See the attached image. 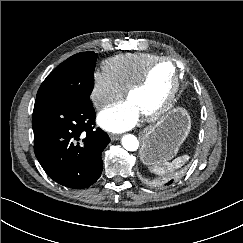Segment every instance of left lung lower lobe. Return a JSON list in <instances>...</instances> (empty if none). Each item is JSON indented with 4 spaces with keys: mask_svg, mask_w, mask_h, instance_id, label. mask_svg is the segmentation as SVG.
<instances>
[{
    "mask_svg": "<svg viewBox=\"0 0 243 243\" xmlns=\"http://www.w3.org/2000/svg\"><path fill=\"white\" fill-rule=\"evenodd\" d=\"M171 183H172V181L168 182L167 184L169 185V184H171Z\"/></svg>",
    "mask_w": 243,
    "mask_h": 243,
    "instance_id": "left-lung-lower-lobe-1",
    "label": "left lung lower lobe"
}]
</instances>
